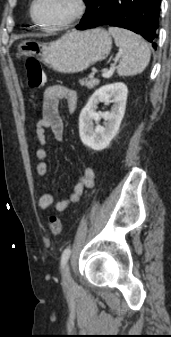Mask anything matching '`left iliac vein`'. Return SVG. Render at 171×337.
<instances>
[{"label": "left iliac vein", "mask_w": 171, "mask_h": 337, "mask_svg": "<svg viewBox=\"0 0 171 337\" xmlns=\"http://www.w3.org/2000/svg\"><path fill=\"white\" fill-rule=\"evenodd\" d=\"M63 283L65 286L69 287L73 284V279L70 274L69 266L66 265L63 270Z\"/></svg>", "instance_id": "1"}]
</instances>
